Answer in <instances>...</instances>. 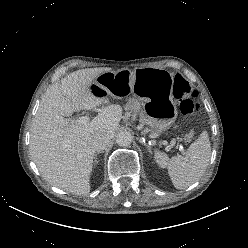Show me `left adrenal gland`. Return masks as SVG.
I'll return each mask as SVG.
<instances>
[{
    "mask_svg": "<svg viewBox=\"0 0 248 248\" xmlns=\"http://www.w3.org/2000/svg\"><path fill=\"white\" fill-rule=\"evenodd\" d=\"M146 146H147V150L152 154L151 148L148 145H146Z\"/></svg>",
    "mask_w": 248,
    "mask_h": 248,
    "instance_id": "a2214340",
    "label": "left adrenal gland"
}]
</instances>
